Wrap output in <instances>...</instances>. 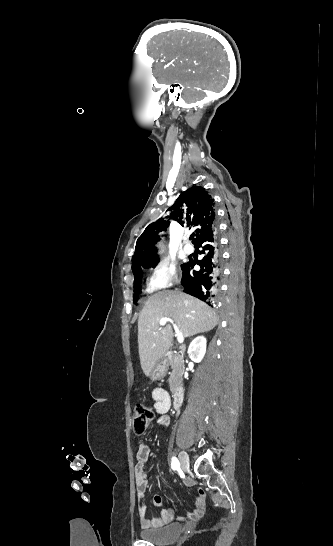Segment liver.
<instances>
[{"mask_svg":"<svg viewBox=\"0 0 333 546\" xmlns=\"http://www.w3.org/2000/svg\"><path fill=\"white\" fill-rule=\"evenodd\" d=\"M163 317L171 318L183 337L205 333L216 327L218 316L206 303L190 295L159 291L148 297L138 319V349L145 376L165 356L173 340L171 325H159Z\"/></svg>","mask_w":333,"mask_h":546,"instance_id":"liver-1","label":"liver"}]
</instances>
